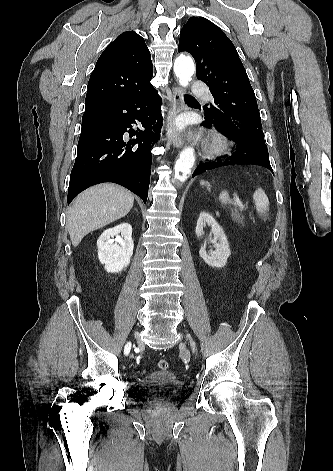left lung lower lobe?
<instances>
[{
    "label": "left lung lower lobe",
    "instance_id": "left-lung-lower-lobe-1",
    "mask_svg": "<svg viewBox=\"0 0 333 471\" xmlns=\"http://www.w3.org/2000/svg\"><path fill=\"white\" fill-rule=\"evenodd\" d=\"M204 125L210 127L215 126L216 129L221 131L224 135L228 136L232 141L236 143V150L233 156L227 157L225 159H220L215 162H206L201 163L195 169L192 177L199 175L206 170L214 169L226 165L234 164H256L268 168L272 173V167L269 161L268 149L266 144L256 143V142H244L230 133H228L223 126L217 122L212 121L205 115ZM274 174V173H273Z\"/></svg>",
    "mask_w": 333,
    "mask_h": 471
}]
</instances>
